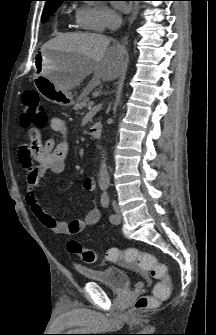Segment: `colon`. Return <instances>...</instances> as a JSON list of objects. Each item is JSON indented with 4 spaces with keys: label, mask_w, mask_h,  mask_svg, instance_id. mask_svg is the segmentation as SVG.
<instances>
[{
    "label": "colon",
    "mask_w": 216,
    "mask_h": 335,
    "mask_svg": "<svg viewBox=\"0 0 216 335\" xmlns=\"http://www.w3.org/2000/svg\"><path fill=\"white\" fill-rule=\"evenodd\" d=\"M23 112L21 124L24 128H30L31 124H36L37 129L44 127L47 122V114L41 105L40 96L35 90H26L22 94ZM68 251L82 259L84 262L93 264L97 261L96 253L81 246L77 241L70 240L67 243ZM105 259L112 262H123L133 265L141 272L149 274L153 279L158 280L153 288L152 295L141 296L135 303L137 310L149 308L158 300L167 299L172 289L171 278L168 275L166 265L159 263L156 257L148 252L140 251L136 248H110Z\"/></svg>",
    "instance_id": "5ec220e1"
}]
</instances>
